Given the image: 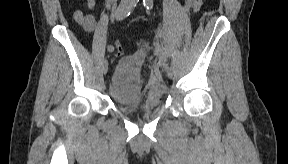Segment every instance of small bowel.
Returning <instances> with one entry per match:
<instances>
[{
  "mask_svg": "<svg viewBox=\"0 0 288 164\" xmlns=\"http://www.w3.org/2000/svg\"><path fill=\"white\" fill-rule=\"evenodd\" d=\"M108 7L111 6V3L107 4ZM94 7V2L89 1L88 8L91 10ZM75 16H84L85 17V24L83 25L86 30H92L95 25V18L92 14H84L81 10H76L74 12Z\"/></svg>",
  "mask_w": 288,
  "mask_h": 164,
  "instance_id": "c3829d8e",
  "label": "small bowel"
}]
</instances>
